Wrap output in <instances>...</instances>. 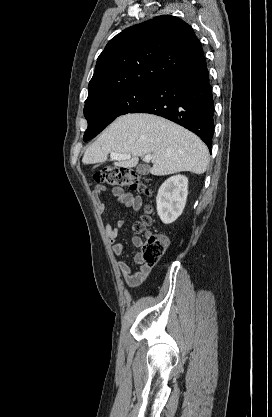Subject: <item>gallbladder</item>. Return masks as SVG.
Wrapping results in <instances>:
<instances>
[{"label":"gallbladder","instance_id":"1","mask_svg":"<svg viewBox=\"0 0 272 417\" xmlns=\"http://www.w3.org/2000/svg\"><path fill=\"white\" fill-rule=\"evenodd\" d=\"M149 170H150L149 166L145 164L138 165L136 169V171L141 175H147L149 173Z\"/></svg>","mask_w":272,"mask_h":417}]
</instances>
